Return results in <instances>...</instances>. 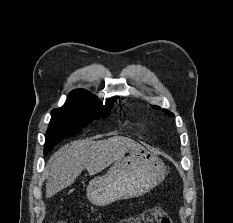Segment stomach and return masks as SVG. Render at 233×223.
Listing matches in <instances>:
<instances>
[{
  "instance_id": "obj_1",
  "label": "stomach",
  "mask_w": 233,
  "mask_h": 223,
  "mask_svg": "<svg viewBox=\"0 0 233 223\" xmlns=\"http://www.w3.org/2000/svg\"><path fill=\"white\" fill-rule=\"evenodd\" d=\"M165 165L144 145L129 149L115 159L104 175L90 179L86 195L93 205H109L119 199L139 197L161 183Z\"/></svg>"
}]
</instances>
